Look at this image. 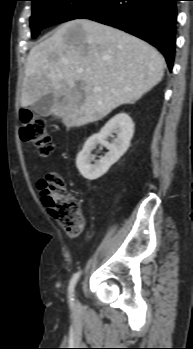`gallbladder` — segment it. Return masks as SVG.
I'll use <instances>...</instances> for the list:
<instances>
[{
	"mask_svg": "<svg viewBox=\"0 0 193 349\" xmlns=\"http://www.w3.org/2000/svg\"><path fill=\"white\" fill-rule=\"evenodd\" d=\"M54 99L51 94L41 97L38 101L31 105V110L42 117L50 115Z\"/></svg>",
	"mask_w": 193,
	"mask_h": 349,
	"instance_id": "gallbladder-1",
	"label": "gallbladder"
}]
</instances>
